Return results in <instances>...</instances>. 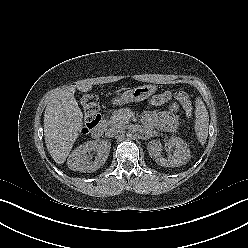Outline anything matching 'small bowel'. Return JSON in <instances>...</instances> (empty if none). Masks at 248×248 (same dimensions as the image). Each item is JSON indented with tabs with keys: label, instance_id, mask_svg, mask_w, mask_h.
<instances>
[{
	"label": "small bowel",
	"instance_id": "small-bowel-1",
	"mask_svg": "<svg viewBox=\"0 0 248 248\" xmlns=\"http://www.w3.org/2000/svg\"><path fill=\"white\" fill-rule=\"evenodd\" d=\"M178 107L177 105L173 104L169 107V109L165 112H163L159 119L158 123L165 127L166 129H171L173 128V116L174 113L177 111Z\"/></svg>",
	"mask_w": 248,
	"mask_h": 248
}]
</instances>
